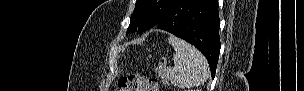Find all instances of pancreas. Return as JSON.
<instances>
[{
	"label": "pancreas",
	"mask_w": 304,
	"mask_h": 91,
	"mask_svg": "<svg viewBox=\"0 0 304 91\" xmlns=\"http://www.w3.org/2000/svg\"><path fill=\"white\" fill-rule=\"evenodd\" d=\"M158 75L162 78L164 85L168 84V78L170 77L172 71L163 65H159L157 68Z\"/></svg>",
	"instance_id": "obj_1"
}]
</instances>
